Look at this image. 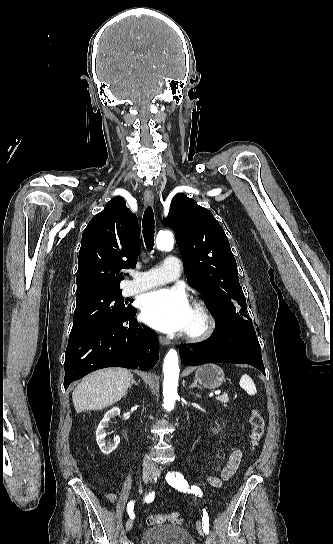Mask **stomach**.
<instances>
[{"instance_id": "obj_1", "label": "stomach", "mask_w": 333, "mask_h": 544, "mask_svg": "<svg viewBox=\"0 0 333 544\" xmlns=\"http://www.w3.org/2000/svg\"><path fill=\"white\" fill-rule=\"evenodd\" d=\"M195 377L203 387L208 389L220 387L225 378L223 370L213 363L200 366L196 371Z\"/></svg>"}]
</instances>
